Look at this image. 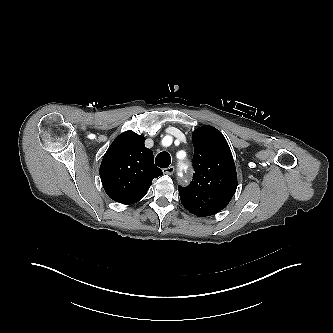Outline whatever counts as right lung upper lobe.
Wrapping results in <instances>:
<instances>
[{
  "instance_id": "1",
  "label": "right lung upper lobe",
  "mask_w": 333,
  "mask_h": 333,
  "mask_svg": "<svg viewBox=\"0 0 333 333\" xmlns=\"http://www.w3.org/2000/svg\"><path fill=\"white\" fill-rule=\"evenodd\" d=\"M145 137L133 131L120 134L106 151L100 177L107 195L116 202L130 205L141 200L162 175L154 165L152 150L144 145Z\"/></svg>"
}]
</instances>
